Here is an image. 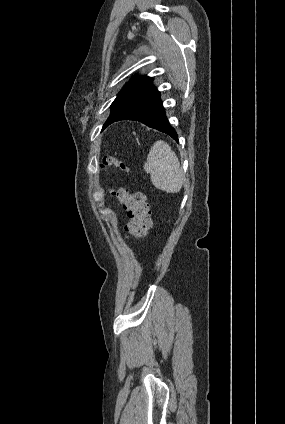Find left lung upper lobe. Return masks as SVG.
<instances>
[{"instance_id": "left-lung-upper-lobe-1", "label": "left lung upper lobe", "mask_w": 285, "mask_h": 424, "mask_svg": "<svg viewBox=\"0 0 285 424\" xmlns=\"http://www.w3.org/2000/svg\"><path fill=\"white\" fill-rule=\"evenodd\" d=\"M152 78L148 76H138L128 82L123 89L118 93L116 99L111 105V110H113L118 104H120L123 100L128 98L130 95L139 91L140 89L148 86L152 83Z\"/></svg>"}]
</instances>
